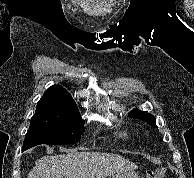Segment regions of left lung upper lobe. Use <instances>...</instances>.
I'll return each mask as SVG.
<instances>
[{
    "label": "left lung upper lobe",
    "mask_w": 194,
    "mask_h": 178,
    "mask_svg": "<svg viewBox=\"0 0 194 178\" xmlns=\"http://www.w3.org/2000/svg\"><path fill=\"white\" fill-rule=\"evenodd\" d=\"M129 116L133 118L141 119L147 122L148 124H150L152 127H157L155 123L156 119L154 118L152 114H149L148 112H143V111L135 109L129 113Z\"/></svg>",
    "instance_id": "obj_1"
}]
</instances>
